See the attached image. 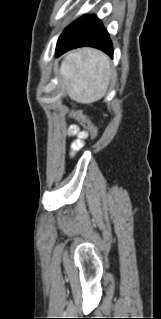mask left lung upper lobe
Segmentation results:
<instances>
[{"label":"left lung upper lobe","mask_w":161,"mask_h":319,"mask_svg":"<svg viewBox=\"0 0 161 319\" xmlns=\"http://www.w3.org/2000/svg\"><path fill=\"white\" fill-rule=\"evenodd\" d=\"M85 18V16H83L82 18H80L78 21L72 23L71 25H69L68 27L65 28V30L63 31V33L61 34V36L59 37V40L62 39L64 36H66L77 24H79L83 19Z\"/></svg>","instance_id":"left-lung-upper-lobe-1"}]
</instances>
